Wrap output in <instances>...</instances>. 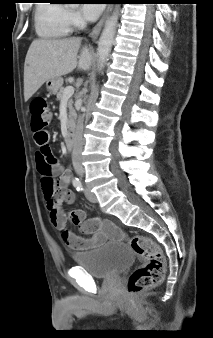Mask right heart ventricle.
Instances as JSON below:
<instances>
[{
  "label": "right heart ventricle",
  "instance_id": "1",
  "mask_svg": "<svg viewBox=\"0 0 213 338\" xmlns=\"http://www.w3.org/2000/svg\"><path fill=\"white\" fill-rule=\"evenodd\" d=\"M64 7L59 4L39 3L36 9V31L44 38L66 36L70 27L64 21Z\"/></svg>",
  "mask_w": 213,
  "mask_h": 338
}]
</instances>
